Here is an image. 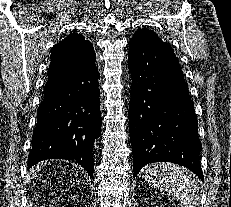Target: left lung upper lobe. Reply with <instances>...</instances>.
<instances>
[{"instance_id":"1","label":"left lung upper lobe","mask_w":231,"mask_h":207,"mask_svg":"<svg viewBox=\"0 0 231 207\" xmlns=\"http://www.w3.org/2000/svg\"><path fill=\"white\" fill-rule=\"evenodd\" d=\"M131 42H154L159 44H164L158 35H156L153 31L148 30L146 28L138 29L133 35Z\"/></svg>"}]
</instances>
